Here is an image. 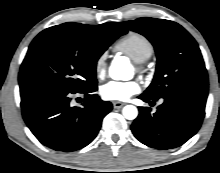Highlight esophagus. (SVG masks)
I'll use <instances>...</instances> for the list:
<instances>
[{"instance_id": "34e87169", "label": "esophagus", "mask_w": 220, "mask_h": 173, "mask_svg": "<svg viewBox=\"0 0 220 173\" xmlns=\"http://www.w3.org/2000/svg\"><path fill=\"white\" fill-rule=\"evenodd\" d=\"M124 105H125L124 103L119 102V101H114V102H113V107H114L115 109H120V108H122Z\"/></svg>"}]
</instances>
